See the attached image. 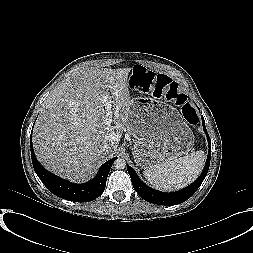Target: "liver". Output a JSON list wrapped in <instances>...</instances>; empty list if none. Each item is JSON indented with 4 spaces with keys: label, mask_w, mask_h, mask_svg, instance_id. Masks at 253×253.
<instances>
[{
    "label": "liver",
    "mask_w": 253,
    "mask_h": 253,
    "mask_svg": "<svg viewBox=\"0 0 253 253\" xmlns=\"http://www.w3.org/2000/svg\"><path fill=\"white\" fill-rule=\"evenodd\" d=\"M130 68H84L57 85L44 101L33 130L37 159L74 182L93 177L116 151L131 104ZM111 104V106H109ZM111 107L114 125H104ZM104 143L110 148L102 149Z\"/></svg>",
    "instance_id": "liver-1"
}]
</instances>
